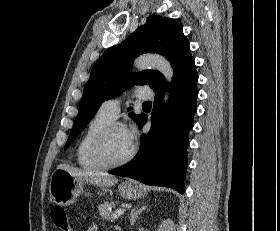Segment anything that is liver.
<instances>
[{
	"mask_svg": "<svg viewBox=\"0 0 280 231\" xmlns=\"http://www.w3.org/2000/svg\"><path fill=\"white\" fill-rule=\"evenodd\" d=\"M57 169H65L69 171L73 177H80V179H85L93 185H101V187H110V185H115L118 179L115 175H104L101 171H86V169H77V167H70L66 163H61L58 165Z\"/></svg>",
	"mask_w": 280,
	"mask_h": 231,
	"instance_id": "6515ba94",
	"label": "liver"
}]
</instances>
